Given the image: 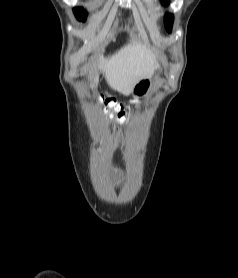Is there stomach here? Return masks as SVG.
Instances as JSON below:
<instances>
[{
  "instance_id": "obj_1",
  "label": "stomach",
  "mask_w": 238,
  "mask_h": 278,
  "mask_svg": "<svg viewBox=\"0 0 238 278\" xmlns=\"http://www.w3.org/2000/svg\"><path fill=\"white\" fill-rule=\"evenodd\" d=\"M151 86V77H143L134 84L130 94L135 98L145 96L151 89Z\"/></svg>"
}]
</instances>
